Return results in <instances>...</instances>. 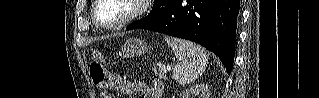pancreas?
<instances>
[{
	"label": "pancreas",
	"instance_id": "obj_1",
	"mask_svg": "<svg viewBox=\"0 0 319 98\" xmlns=\"http://www.w3.org/2000/svg\"><path fill=\"white\" fill-rule=\"evenodd\" d=\"M153 72L155 75L159 76L160 79H166V71H163L161 67H159V70H157V68L154 67Z\"/></svg>",
	"mask_w": 319,
	"mask_h": 98
}]
</instances>
